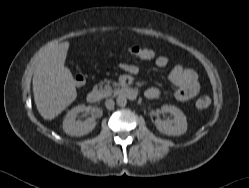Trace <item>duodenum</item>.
I'll list each match as a JSON object with an SVG mask.
<instances>
[{"label": "duodenum", "instance_id": "duodenum-1", "mask_svg": "<svg viewBox=\"0 0 249 188\" xmlns=\"http://www.w3.org/2000/svg\"><path fill=\"white\" fill-rule=\"evenodd\" d=\"M120 95L132 100L137 97V91L133 88H124L120 91ZM86 98L89 103L95 104L99 102L101 94L97 90H92L87 94Z\"/></svg>", "mask_w": 249, "mask_h": 188}]
</instances>
